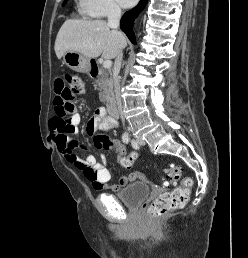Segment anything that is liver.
<instances>
[{"label":"liver","instance_id":"6515ba94","mask_svg":"<svg viewBox=\"0 0 248 258\" xmlns=\"http://www.w3.org/2000/svg\"><path fill=\"white\" fill-rule=\"evenodd\" d=\"M125 42V36L115 29H110L106 21L69 19L57 34L55 53L58 59H61L65 52L73 51L89 59L102 55L106 60H110L116 57Z\"/></svg>","mask_w":248,"mask_h":258}]
</instances>
